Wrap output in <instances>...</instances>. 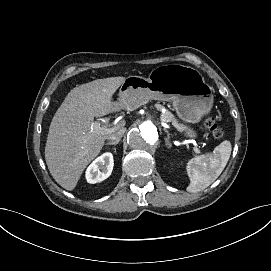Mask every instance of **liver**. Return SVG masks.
<instances>
[{"mask_svg": "<svg viewBox=\"0 0 271 271\" xmlns=\"http://www.w3.org/2000/svg\"><path fill=\"white\" fill-rule=\"evenodd\" d=\"M124 81V77H111L75 87L55 113L49 127L45 159L51 175L64 189L76 188L85 168L101 152L107 135L125 131V119L110 123L102 135L91 131L94 117L119 109L114 94Z\"/></svg>", "mask_w": 271, "mask_h": 271, "instance_id": "liver-1", "label": "liver"}]
</instances>
